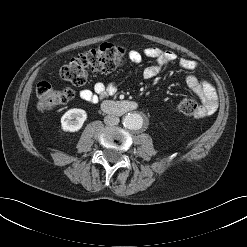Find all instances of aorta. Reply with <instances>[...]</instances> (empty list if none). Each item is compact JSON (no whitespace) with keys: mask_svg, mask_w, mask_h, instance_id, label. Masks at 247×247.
Segmentation results:
<instances>
[{"mask_svg":"<svg viewBox=\"0 0 247 247\" xmlns=\"http://www.w3.org/2000/svg\"><path fill=\"white\" fill-rule=\"evenodd\" d=\"M143 123V117L138 113H129L123 117V125L131 130L141 129Z\"/></svg>","mask_w":247,"mask_h":247,"instance_id":"aorta-1","label":"aorta"}]
</instances>
